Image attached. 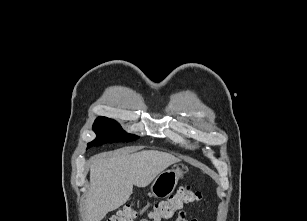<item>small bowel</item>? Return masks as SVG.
Here are the masks:
<instances>
[{
  "label": "small bowel",
  "instance_id": "1",
  "mask_svg": "<svg viewBox=\"0 0 307 221\" xmlns=\"http://www.w3.org/2000/svg\"><path fill=\"white\" fill-rule=\"evenodd\" d=\"M175 221H198V220L195 218L193 219L188 218L186 212L184 210H181L176 216Z\"/></svg>",
  "mask_w": 307,
  "mask_h": 221
}]
</instances>
